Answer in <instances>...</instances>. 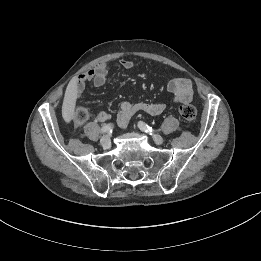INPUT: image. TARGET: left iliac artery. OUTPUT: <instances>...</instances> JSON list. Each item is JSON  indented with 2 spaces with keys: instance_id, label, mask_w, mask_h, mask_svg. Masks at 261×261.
Segmentation results:
<instances>
[{
  "instance_id": "obj_1",
  "label": "left iliac artery",
  "mask_w": 261,
  "mask_h": 261,
  "mask_svg": "<svg viewBox=\"0 0 261 261\" xmlns=\"http://www.w3.org/2000/svg\"><path fill=\"white\" fill-rule=\"evenodd\" d=\"M138 127L142 130V131H145V132H148V133H152L153 132V129L152 127L148 126L146 123H144L143 121H139L138 122Z\"/></svg>"
}]
</instances>
